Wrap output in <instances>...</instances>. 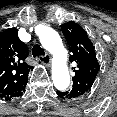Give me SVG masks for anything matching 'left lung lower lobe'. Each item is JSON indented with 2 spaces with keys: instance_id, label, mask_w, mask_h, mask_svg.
I'll return each mask as SVG.
<instances>
[{
  "instance_id": "left-lung-lower-lobe-1",
  "label": "left lung lower lobe",
  "mask_w": 117,
  "mask_h": 117,
  "mask_svg": "<svg viewBox=\"0 0 117 117\" xmlns=\"http://www.w3.org/2000/svg\"><path fill=\"white\" fill-rule=\"evenodd\" d=\"M57 94H58V96L61 97V98L68 99V98H67V93H66V92L57 91Z\"/></svg>"
}]
</instances>
